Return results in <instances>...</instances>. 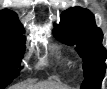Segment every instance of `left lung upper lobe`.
Here are the masks:
<instances>
[{"mask_svg":"<svg viewBox=\"0 0 107 89\" xmlns=\"http://www.w3.org/2000/svg\"><path fill=\"white\" fill-rule=\"evenodd\" d=\"M53 33L59 41L75 45L83 59L85 79L81 89H99L106 70L107 53L102 46L103 34L95 25L94 15L81 7L70 8L62 13Z\"/></svg>","mask_w":107,"mask_h":89,"instance_id":"1","label":"left lung upper lobe"}]
</instances>
